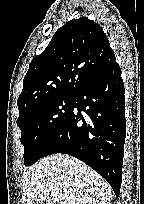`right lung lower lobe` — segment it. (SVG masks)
I'll list each match as a JSON object with an SVG mask.
<instances>
[{
  "label": "right lung lower lobe",
  "mask_w": 144,
  "mask_h": 204,
  "mask_svg": "<svg viewBox=\"0 0 144 204\" xmlns=\"http://www.w3.org/2000/svg\"><path fill=\"white\" fill-rule=\"evenodd\" d=\"M125 136L124 84L114 62L75 95L70 116L43 157L65 153L82 160L109 182L118 197Z\"/></svg>",
  "instance_id": "obj_1"
}]
</instances>
